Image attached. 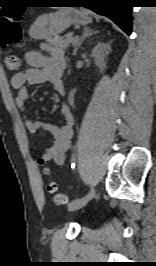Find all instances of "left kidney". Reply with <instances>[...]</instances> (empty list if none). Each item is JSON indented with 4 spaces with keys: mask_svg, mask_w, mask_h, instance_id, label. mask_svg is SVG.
Listing matches in <instances>:
<instances>
[{
    "mask_svg": "<svg viewBox=\"0 0 156 266\" xmlns=\"http://www.w3.org/2000/svg\"><path fill=\"white\" fill-rule=\"evenodd\" d=\"M92 57L94 58L95 64L100 68H106V56L108 55V45L99 43L96 45L91 53Z\"/></svg>",
    "mask_w": 156,
    "mask_h": 266,
    "instance_id": "left-kidney-1",
    "label": "left kidney"
}]
</instances>
